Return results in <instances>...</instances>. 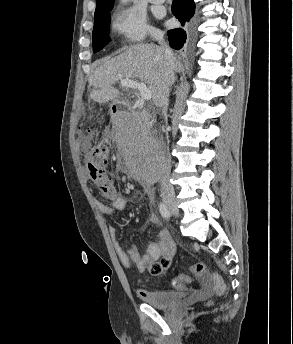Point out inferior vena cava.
<instances>
[{
	"label": "inferior vena cava",
	"mask_w": 293,
	"mask_h": 344,
	"mask_svg": "<svg viewBox=\"0 0 293 344\" xmlns=\"http://www.w3.org/2000/svg\"><path fill=\"white\" fill-rule=\"evenodd\" d=\"M153 38L158 41L164 49V83L162 90L160 91L159 101L156 103L158 107L162 109V114L167 119V110L169 104V90L173 84L174 72H173V61L174 54L171 49L164 43V34L162 32H156L153 34ZM162 152H165V166L163 169L162 178L160 180L161 185V197L163 198H174L175 192L173 186L170 184V171H171V158L169 155V147H166L163 141L160 142Z\"/></svg>",
	"instance_id": "602c4592"
}]
</instances>
